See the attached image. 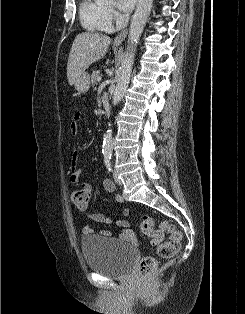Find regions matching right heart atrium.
Returning a JSON list of instances; mask_svg holds the SVG:
<instances>
[{"instance_id": "obj_1", "label": "right heart atrium", "mask_w": 245, "mask_h": 314, "mask_svg": "<svg viewBox=\"0 0 245 314\" xmlns=\"http://www.w3.org/2000/svg\"><path fill=\"white\" fill-rule=\"evenodd\" d=\"M116 20V13L112 9H108L106 11V21L110 28H112L111 23H113Z\"/></svg>"}]
</instances>
